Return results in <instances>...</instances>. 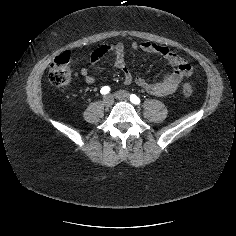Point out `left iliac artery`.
I'll list each match as a JSON object with an SVG mask.
<instances>
[{
	"mask_svg": "<svg viewBox=\"0 0 236 236\" xmlns=\"http://www.w3.org/2000/svg\"><path fill=\"white\" fill-rule=\"evenodd\" d=\"M130 101L134 104H139L141 102L140 98L135 94L130 95Z\"/></svg>",
	"mask_w": 236,
	"mask_h": 236,
	"instance_id": "1",
	"label": "left iliac artery"
}]
</instances>
